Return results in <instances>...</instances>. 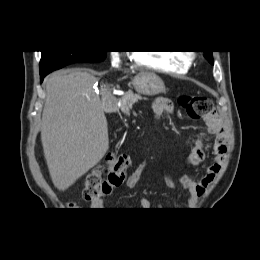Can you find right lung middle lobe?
<instances>
[{"label":"right lung middle lobe","mask_w":260,"mask_h":260,"mask_svg":"<svg viewBox=\"0 0 260 260\" xmlns=\"http://www.w3.org/2000/svg\"><path fill=\"white\" fill-rule=\"evenodd\" d=\"M106 57V51H42L40 75L76 62H100Z\"/></svg>","instance_id":"dd1d6c3e"}]
</instances>
